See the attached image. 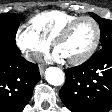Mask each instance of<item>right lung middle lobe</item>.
<instances>
[{
  "instance_id": "dd1d6c3e",
  "label": "right lung middle lobe",
  "mask_w": 112,
  "mask_h": 112,
  "mask_svg": "<svg viewBox=\"0 0 112 112\" xmlns=\"http://www.w3.org/2000/svg\"><path fill=\"white\" fill-rule=\"evenodd\" d=\"M19 24V18L16 14H0V50L20 53L15 43Z\"/></svg>"
}]
</instances>
